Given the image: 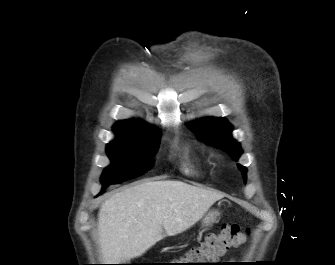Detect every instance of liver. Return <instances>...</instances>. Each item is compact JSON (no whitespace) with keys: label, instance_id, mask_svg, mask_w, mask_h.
Returning <instances> with one entry per match:
<instances>
[{"label":"liver","instance_id":"obj_1","mask_svg":"<svg viewBox=\"0 0 335 265\" xmlns=\"http://www.w3.org/2000/svg\"><path fill=\"white\" fill-rule=\"evenodd\" d=\"M223 196L175 180L144 181L116 192L99 210L103 260L119 264L112 262L141 256L164 236L192 227Z\"/></svg>","mask_w":335,"mask_h":265}]
</instances>
